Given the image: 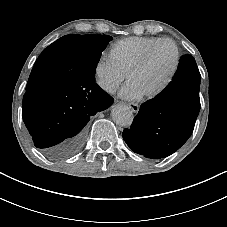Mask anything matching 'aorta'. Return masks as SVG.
<instances>
[{
	"mask_svg": "<svg viewBox=\"0 0 227 227\" xmlns=\"http://www.w3.org/2000/svg\"><path fill=\"white\" fill-rule=\"evenodd\" d=\"M113 121L119 126H130L134 115L129 106L116 105L111 111Z\"/></svg>",
	"mask_w": 227,
	"mask_h": 227,
	"instance_id": "aorta-1",
	"label": "aorta"
}]
</instances>
